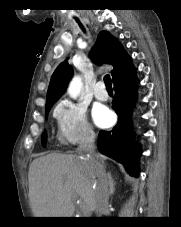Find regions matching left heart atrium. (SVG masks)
<instances>
[{
    "label": "left heart atrium",
    "instance_id": "left-heart-atrium-1",
    "mask_svg": "<svg viewBox=\"0 0 181 227\" xmlns=\"http://www.w3.org/2000/svg\"><path fill=\"white\" fill-rule=\"evenodd\" d=\"M93 120L100 127H107L113 121V115L106 107L100 106L93 110Z\"/></svg>",
    "mask_w": 181,
    "mask_h": 227
}]
</instances>
